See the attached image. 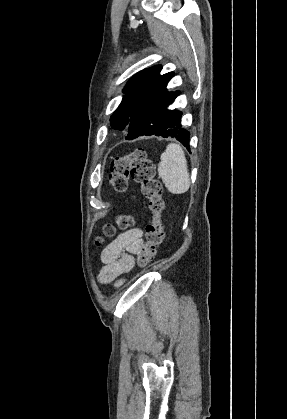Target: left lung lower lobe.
<instances>
[{
	"mask_svg": "<svg viewBox=\"0 0 287 419\" xmlns=\"http://www.w3.org/2000/svg\"><path fill=\"white\" fill-rule=\"evenodd\" d=\"M179 94L180 91L164 90L142 104L131 116L125 139L133 140L151 135L170 137L180 141L190 151V133L181 127L182 112L167 109Z\"/></svg>",
	"mask_w": 287,
	"mask_h": 419,
	"instance_id": "obj_1",
	"label": "left lung lower lobe"
}]
</instances>
